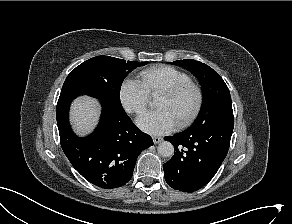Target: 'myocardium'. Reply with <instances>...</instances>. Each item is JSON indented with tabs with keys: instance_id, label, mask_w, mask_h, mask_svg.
Instances as JSON below:
<instances>
[{
	"instance_id": "f54148a6",
	"label": "myocardium",
	"mask_w": 292,
	"mask_h": 224,
	"mask_svg": "<svg viewBox=\"0 0 292 224\" xmlns=\"http://www.w3.org/2000/svg\"><path fill=\"white\" fill-rule=\"evenodd\" d=\"M188 90L194 91L196 95V101L192 110L189 112V114L179 123H177L178 128H185L188 125H190L200 113L203 103H204V91L202 87L193 81H188V82H184V83L169 87L167 89H164L158 94V96L176 98Z\"/></svg>"
}]
</instances>
